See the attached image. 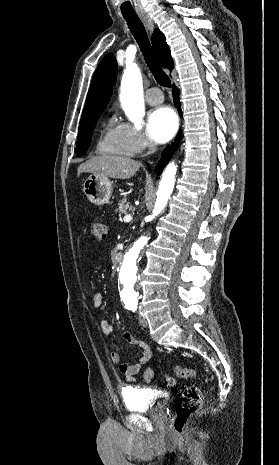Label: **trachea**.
Wrapping results in <instances>:
<instances>
[{
    "label": "trachea",
    "instance_id": "1",
    "mask_svg": "<svg viewBox=\"0 0 279 465\" xmlns=\"http://www.w3.org/2000/svg\"><path fill=\"white\" fill-rule=\"evenodd\" d=\"M128 27L134 36L136 42L138 43L146 63L151 70L155 80L157 83L163 87H170L171 81L168 75L163 71L162 67L160 66L158 60L156 59L155 53L151 47L150 41L148 39V35L146 30L140 21L137 15H127L123 14Z\"/></svg>",
    "mask_w": 279,
    "mask_h": 465
}]
</instances>
